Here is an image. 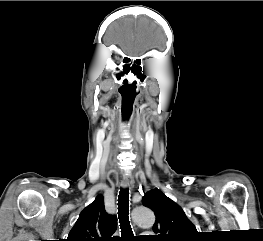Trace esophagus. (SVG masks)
Here are the masks:
<instances>
[{
  "instance_id": "1",
  "label": "esophagus",
  "mask_w": 263,
  "mask_h": 241,
  "mask_svg": "<svg viewBox=\"0 0 263 241\" xmlns=\"http://www.w3.org/2000/svg\"><path fill=\"white\" fill-rule=\"evenodd\" d=\"M131 183H132L131 178L127 175H124L122 180H121V187L123 189H127L131 185Z\"/></svg>"
}]
</instances>
